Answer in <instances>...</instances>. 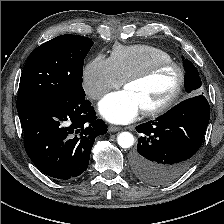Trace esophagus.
<instances>
[{
  "instance_id": "obj_1",
  "label": "esophagus",
  "mask_w": 224,
  "mask_h": 224,
  "mask_svg": "<svg viewBox=\"0 0 224 224\" xmlns=\"http://www.w3.org/2000/svg\"><path fill=\"white\" fill-rule=\"evenodd\" d=\"M121 130V128L120 127H117V126H109V128H108V131L109 132H117V131H120Z\"/></svg>"
}]
</instances>
